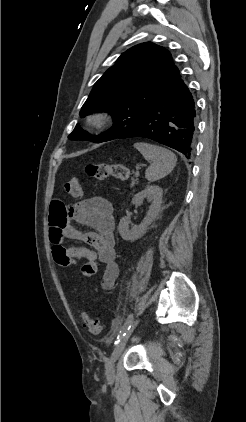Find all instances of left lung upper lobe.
I'll use <instances>...</instances> for the list:
<instances>
[{"label":"left lung upper lobe","mask_w":246,"mask_h":422,"mask_svg":"<svg viewBox=\"0 0 246 422\" xmlns=\"http://www.w3.org/2000/svg\"><path fill=\"white\" fill-rule=\"evenodd\" d=\"M178 72L171 54L161 46L146 42L128 49L95 83L80 111L81 117L111 114L112 128L94 137L77 124L68 138L96 143L118 138L145 114Z\"/></svg>","instance_id":"1"}]
</instances>
